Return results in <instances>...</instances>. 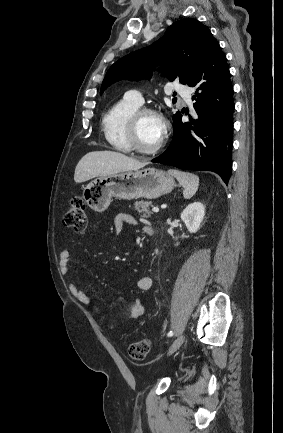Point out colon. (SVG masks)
Instances as JSON below:
<instances>
[{
    "label": "colon",
    "instance_id": "1",
    "mask_svg": "<svg viewBox=\"0 0 283 433\" xmlns=\"http://www.w3.org/2000/svg\"><path fill=\"white\" fill-rule=\"evenodd\" d=\"M64 225L78 233H82L87 228V214L85 203L82 198L74 197L64 219ZM150 350V341L148 339H139L129 344L127 348L128 356L134 360L144 359Z\"/></svg>",
    "mask_w": 283,
    "mask_h": 433
}]
</instances>
